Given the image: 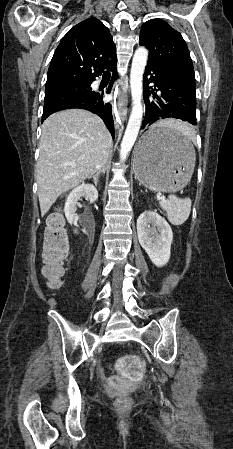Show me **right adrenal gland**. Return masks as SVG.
I'll list each match as a JSON object with an SVG mask.
<instances>
[{"label": "right adrenal gland", "mask_w": 233, "mask_h": 449, "mask_svg": "<svg viewBox=\"0 0 233 449\" xmlns=\"http://www.w3.org/2000/svg\"><path fill=\"white\" fill-rule=\"evenodd\" d=\"M104 173H105V168H102L99 171H97V173L95 175L92 176L96 186L98 184L100 174H104Z\"/></svg>", "instance_id": "2a0ac1e0"}]
</instances>
